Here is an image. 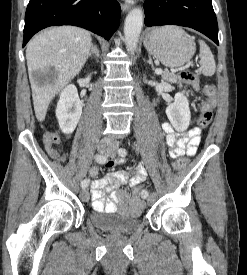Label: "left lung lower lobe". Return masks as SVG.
Segmentation results:
<instances>
[{"mask_svg":"<svg viewBox=\"0 0 247 275\" xmlns=\"http://www.w3.org/2000/svg\"><path fill=\"white\" fill-rule=\"evenodd\" d=\"M145 25H179L193 28L218 44V25L211 0H148Z\"/></svg>","mask_w":247,"mask_h":275,"instance_id":"1","label":"left lung lower lobe"}]
</instances>
